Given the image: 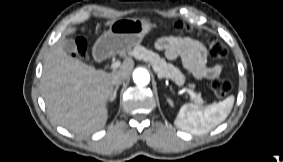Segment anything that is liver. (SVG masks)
<instances>
[{
  "label": "liver",
  "mask_w": 283,
  "mask_h": 162,
  "mask_svg": "<svg viewBox=\"0 0 283 162\" xmlns=\"http://www.w3.org/2000/svg\"><path fill=\"white\" fill-rule=\"evenodd\" d=\"M108 21L105 25H111ZM76 31L69 28L68 34ZM60 39L44 58L41 92L50 118L76 134H91L101 130L108 119V102L113 94L112 78L123 74L128 78L133 61L126 60L112 73L96 70L72 58Z\"/></svg>",
  "instance_id": "1"
}]
</instances>
